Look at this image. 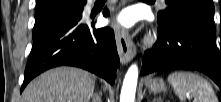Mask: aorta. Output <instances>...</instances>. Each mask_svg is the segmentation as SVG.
I'll use <instances>...</instances> for the list:
<instances>
[{
	"label": "aorta",
	"mask_w": 221,
	"mask_h": 102,
	"mask_svg": "<svg viewBox=\"0 0 221 102\" xmlns=\"http://www.w3.org/2000/svg\"><path fill=\"white\" fill-rule=\"evenodd\" d=\"M138 81V67L132 64L128 69L121 89L120 102H134Z\"/></svg>",
	"instance_id": "762f6f07"
}]
</instances>
